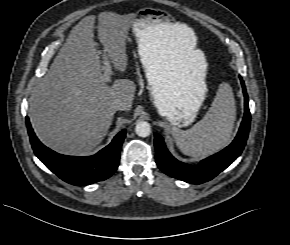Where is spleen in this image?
Masks as SVG:
<instances>
[{
	"mask_svg": "<svg viewBox=\"0 0 290 245\" xmlns=\"http://www.w3.org/2000/svg\"><path fill=\"white\" fill-rule=\"evenodd\" d=\"M235 114L232 88L228 83H222L211 107L199 122L186 131L173 127L176 145L182 153L194 158L206 157L221 150L230 141Z\"/></svg>",
	"mask_w": 290,
	"mask_h": 245,
	"instance_id": "1",
	"label": "spleen"
}]
</instances>
